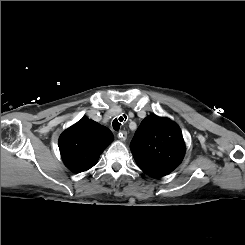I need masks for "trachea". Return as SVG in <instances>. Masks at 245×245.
I'll use <instances>...</instances> for the list:
<instances>
[{
	"instance_id": "obj_1",
	"label": "trachea",
	"mask_w": 245,
	"mask_h": 245,
	"mask_svg": "<svg viewBox=\"0 0 245 245\" xmlns=\"http://www.w3.org/2000/svg\"><path fill=\"white\" fill-rule=\"evenodd\" d=\"M127 120V116L125 114L121 115L118 119H114L112 122L113 128L115 130H119L121 125Z\"/></svg>"
}]
</instances>
